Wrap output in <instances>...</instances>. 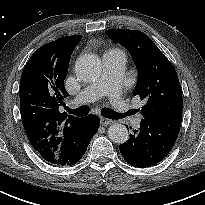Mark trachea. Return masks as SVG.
I'll return each mask as SVG.
<instances>
[{"instance_id": "1", "label": "trachea", "mask_w": 205, "mask_h": 205, "mask_svg": "<svg viewBox=\"0 0 205 205\" xmlns=\"http://www.w3.org/2000/svg\"><path fill=\"white\" fill-rule=\"evenodd\" d=\"M66 111H68L70 114H74L76 116L82 117V116H85L89 113V108L88 107H79L75 110H71V109L66 107ZM101 114L104 117L109 118V119H120V118H122L121 113L115 112V111L110 110V109H103L101 111ZM128 114H130V112Z\"/></svg>"}]
</instances>
